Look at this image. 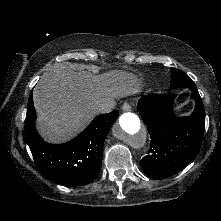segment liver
I'll use <instances>...</instances> for the list:
<instances>
[{
  "label": "liver",
  "mask_w": 221,
  "mask_h": 221,
  "mask_svg": "<svg viewBox=\"0 0 221 221\" xmlns=\"http://www.w3.org/2000/svg\"><path fill=\"white\" fill-rule=\"evenodd\" d=\"M140 90V79L126 71L93 75L76 72L66 64H55L42 76L33 92L37 129L51 143L67 141L98 114L100 104L115 102Z\"/></svg>",
  "instance_id": "6515ba94"
}]
</instances>
